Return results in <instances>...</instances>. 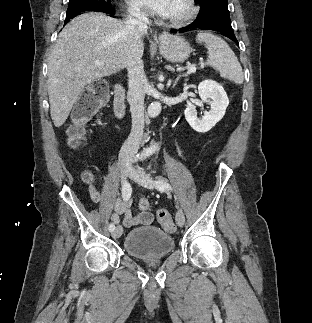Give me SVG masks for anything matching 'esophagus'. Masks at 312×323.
<instances>
[{
    "mask_svg": "<svg viewBox=\"0 0 312 323\" xmlns=\"http://www.w3.org/2000/svg\"><path fill=\"white\" fill-rule=\"evenodd\" d=\"M165 38V35L164 34H161V35H159V37H158V39L159 40H163Z\"/></svg>",
    "mask_w": 312,
    "mask_h": 323,
    "instance_id": "34e87169",
    "label": "esophagus"
}]
</instances>
